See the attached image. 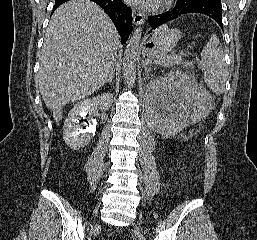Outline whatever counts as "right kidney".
Wrapping results in <instances>:
<instances>
[{
	"instance_id": "right-kidney-1",
	"label": "right kidney",
	"mask_w": 257,
	"mask_h": 240,
	"mask_svg": "<svg viewBox=\"0 0 257 240\" xmlns=\"http://www.w3.org/2000/svg\"><path fill=\"white\" fill-rule=\"evenodd\" d=\"M113 103V95L104 93L93 99H87L77 103L69 112L68 117L64 122L63 138L66 144L74 149L79 150L89 144L93 127L81 129L86 115L94 114L95 110L99 108L102 111L108 110Z\"/></svg>"
}]
</instances>
